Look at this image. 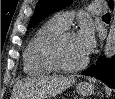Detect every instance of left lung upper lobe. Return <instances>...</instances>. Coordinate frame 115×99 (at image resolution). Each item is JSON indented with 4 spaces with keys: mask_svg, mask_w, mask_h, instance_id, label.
<instances>
[{
    "mask_svg": "<svg viewBox=\"0 0 115 99\" xmlns=\"http://www.w3.org/2000/svg\"><path fill=\"white\" fill-rule=\"evenodd\" d=\"M72 0H39L34 14L29 22L28 29L51 13L58 11L66 6H68ZM109 4L112 5L113 2L109 1Z\"/></svg>",
    "mask_w": 115,
    "mask_h": 99,
    "instance_id": "left-lung-upper-lobe-1",
    "label": "left lung upper lobe"
}]
</instances>
